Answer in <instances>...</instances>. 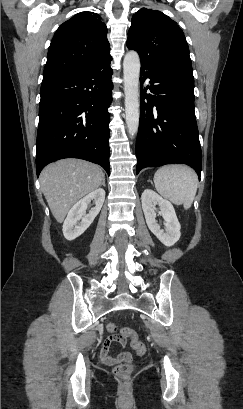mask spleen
Returning <instances> with one entry per match:
<instances>
[{
	"mask_svg": "<svg viewBox=\"0 0 243 409\" xmlns=\"http://www.w3.org/2000/svg\"><path fill=\"white\" fill-rule=\"evenodd\" d=\"M155 188L164 198L176 205L191 207L197 192V175L184 165H168L158 169L154 175Z\"/></svg>",
	"mask_w": 243,
	"mask_h": 409,
	"instance_id": "obj_1",
	"label": "spleen"
}]
</instances>
